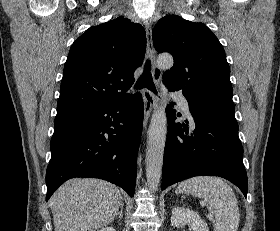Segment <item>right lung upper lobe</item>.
<instances>
[{
	"label": "right lung upper lobe",
	"mask_w": 280,
	"mask_h": 231,
	"mask_svg": "<svg viewBox=\"0 0 280 231\" xmlns=\"http://www.w3.org/2000/svg\"><path fill=\"white\" fill-rule=\"evenodd\" d=\"M145 48L144 28L122 16L87 29L70 48L55 120L131 98Z\"/></svg>",
	"instance_id": "1"
}]
</instances>
